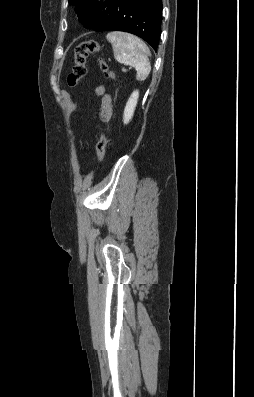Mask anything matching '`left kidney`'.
I'll use <instances>...</instances> for the list:
<instances>
[{"instance_id":"obj_1","label":"left kidney","mask_w":254,"mask_h":397,"mask_svg":"<svg viewBox=\"0 0 254 397\" xmlns=\"http://www.w3.org/2000/svg\"><path fill=\"white\" fill-rule=\"evenodd\" d=\"M138 97H139V92L136 90L131 94L130 98L128 99L123 115L124 124H128L129 121L132 119L137 105Z\"/></svg>"}]
</instances>
